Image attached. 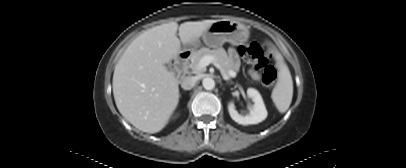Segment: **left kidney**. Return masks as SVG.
<instances>
[{
  "mask_svg": "<svg viewBox=\"0 0 406 168\" xmlns=\"http://www.w3.org/2000/svg\"><path fill=\"white\" fill-rule=\"evenodd\" d=\"M247 95L249 98L252 99L254 102L253 105L248 107L249 113L246 114H239L235 109V105L233 102H229L228 104V111L231 118L237 122L238 124L242 125H251V124H258L266 119L267 117V110L264 105L263 99L260 93L253 88H249L247 90Z\"/></svg>",
  "mask_w": 406,
  "mask_h": 168,
  "instance_id": "1",
  "label": "left kidney"
}]
</instances>
